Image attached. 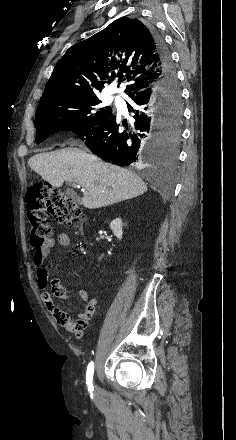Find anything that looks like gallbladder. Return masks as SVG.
I'll use <instances>...</instances> for the list:
<instances>
[{"label": "gallbladder", "instance_id": "bac80fb5", "mask_svg": "<svg viewBox=\"0 0 236 440\" xmlns=\"http://www.w3.org/2000/svg\"><path fill=\"white\" fill-rule=\"evenodd\" d=\"M66 194L71 197L74 201H79V198L76 196L75 193H73L71 190H67Z\"/></svg>", "mask_w": 236, "mask_h": 440}]
</instances>
